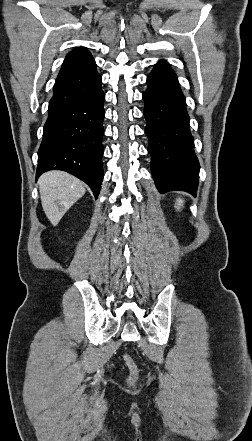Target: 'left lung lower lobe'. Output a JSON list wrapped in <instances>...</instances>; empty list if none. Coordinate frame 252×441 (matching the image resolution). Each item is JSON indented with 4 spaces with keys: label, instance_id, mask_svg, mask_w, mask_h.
Segmentation results:
<instances>
[{
    "label": "left lung lower lobe",
    "instance_id": "left-lung-lower-lobe-1",
    "mask_svg": "<svg viewBox=\"0 0 252 441\" xmlns=\"http://www.w3.org/2000/svg\"><path fill=\"white\" fill-rule=\"evenodd\" d=\"M147 85L143 93L145 132L157 189L160 193L184 190L195 195L200 165L177 76L166 61H159L148 75Z\"/></svg>",
    "mask_w": 252,
    "mask_h": 441
}]
</instances>
